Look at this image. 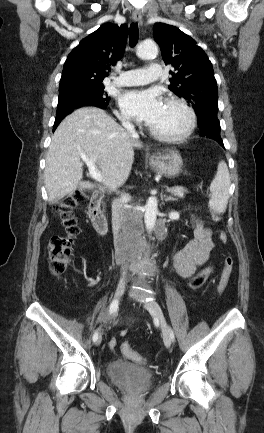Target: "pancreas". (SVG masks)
Listing matches in <instances>:
<instances>
[{
	"mask_svg": "<svg viewBox=\"0 0 264 433\" xmlns=\"http://www.w3.org/2000/svg\"><path fill=\"white\" fill-rule=\"evenodd\" d=\"M175 196H177L178 198H184V193L182 195L178 194V193H174Z\"/></svg>",
	"mask_w": 264,
	"mask_h": 433,
	"instance_id": "pancreas-1",
	"label": "pancreas"
}]
</instances>
